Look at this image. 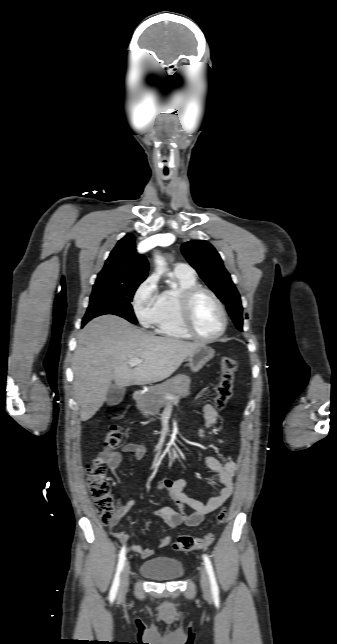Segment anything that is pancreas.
<instances>
[{"mask_svg": "<svg viewBox=\"0 0 337 644\" xmlns=\"http://www.w3.org/2000/svg\"><path fill=\"white\" fill-rule=\"evenodd\" d=\"M190 378L186 375H177L149 388V391L138 401V408L143 415H155L167 402H178L180 398L190 394ZM173 396L170 399L167 396Z\"/></svg>", "mask_w": 337, "mask_h": 644, "instance_id": "obj_1", "label": "pancreas"}]
</instances>
